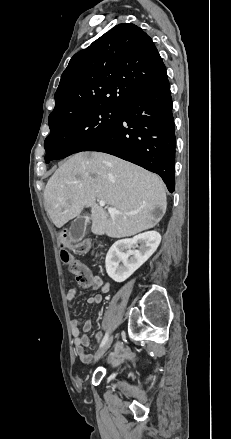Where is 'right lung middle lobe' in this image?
I'll list each match as a JSON object with an SVG mask.
<instances>
[{
    "label": "right lung middle lobe",
    "mask_w": 231,
    "mask_h": 439,
    "mask_svg": "<svg viewBox=\"0 0 231 439\" xmlns=\"http://www.w3.org/2000/svg\"><path fill=\"white\" fill-rule=\"evenodd\" d=\"M120 113L118 109L94 107L49 120L50 134L44 142L46 163L84 151L117 124Z\"/></svg>",
    "instance_id": "obj_1"
}]
</instances>
